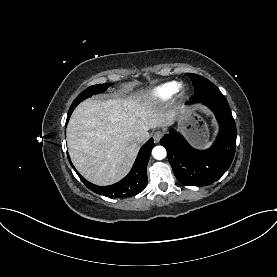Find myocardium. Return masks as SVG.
Masks as SVG:
<instances>
[{
	"label": "myocardium",
	"mask_w": 277,
	"mask_h": 277,
	"mask_svg": "<svg viewBox=\"0 0 277 277\" xmlns=\"http://www.w3.org/2000/svg\"><path fill=\"white\" fill-rule=\"evenodd\" d=\"M182 92H183V86L181 84H179L176 93L182 94Z\"/></svg>",
	"instance_id": "1"
}]
</instances>
